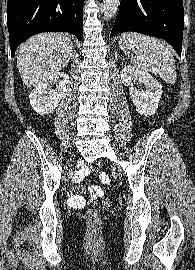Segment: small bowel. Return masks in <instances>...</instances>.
<instances>
[{"mask_svg":"<svg viewBox=\"0 0 195 270\" xmlns=\"http://www.w3.org/2000/svg\"><path fill=\"white\" fill-rule=\"evenodd\" d=\"M92 171H93V169L90 166L80 164L78 167V170H77V178L82 179L83 177L89 175ZM99 178L104 184L109 183V178L105 173L100 172ZM89 191H90V195H91L90 196L91 199H90L89 203H91V204L97 203L98 199L100 197H102L104 194L103 189L99 185H92L89 188ZM87 203L88 202L85 200V198L82 197L81 195H79L78 188H72L70 190V195L68 197V204L71 207L82 208V207L86 206Z\"/></svg>","mask_w":195,"mask_h":270,"instance_id":"c3829d8e","label":"small bowel"}]
</instances>
